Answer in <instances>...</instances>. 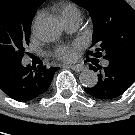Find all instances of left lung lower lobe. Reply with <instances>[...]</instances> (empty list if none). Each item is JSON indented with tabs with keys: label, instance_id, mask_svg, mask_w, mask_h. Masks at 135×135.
<instances>
[{
	"label": "left lung lower lobe",
	"instance_id": "1",
	"mask_svg": "<svg viewBox=\"0 0 135 135\" xmlns=\"http://www.w3.org/2000/svg\"><path fill=\"white\" fill-rule=\"evenodd\" d=\"M108 64L102 68L98 64L89 67L98 72V83L84 90L91 96L109 100L122 95L135 81V61L122 58H108Z\"/></svg>",
	"mask_w": 135,
	"mask_h": 135
}]
</instances>
